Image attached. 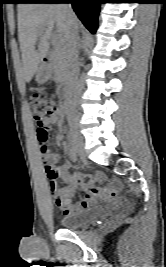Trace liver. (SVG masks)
I'll return each mask as SVG.
<instances>
[{"label": "liver", "mask_w": 166, "mask_h": 267, "mask_svg": "<svg viewBox=\"0 0 166 267\" xmlns=\"http://www.w3.org/2000/svg\"><path fill=\"white\" fill-rule=\"evenodd\" d=\"M18 39L21 50L19 72L30 82L49 51L54 25L59 37L67 42V20L60 4L22 3L17 6ZM77 24L79 21L77 19Z\"/></svg>", "instance_id": "1"}]
</instances>
